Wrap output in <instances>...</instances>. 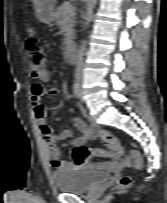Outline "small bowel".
<instances>
[{"label":"small bowel","instance_id":"c3829d8e","mask_svg":"<svg viewBox=\"0 0 167 203\" xmlns=\"http://www.w3.org/2000/svg\"><path fill=\"white\" fill-rule=\"evenodd\" d=\"M34 79L40 80L42 82H48L50 80V72L45 69L37 74L32 73ZM60 94L58 88H45L40 83H34L31 86V102L33 105L34 115L39 123V129L42 133L43 139L49 149L50 162L54 169L62 168H78L72 163H69L62 159L61 147L58 142L70 139L73 137V132L71 130H63L60 133H55L54 125L46 121V111L42 104V98L45 95L50 97H57ZM80 111H83L81 106H78ZM64 116L58 115L55 117V122L60 121ZM72 125L82 133V136L73 140V145H82L89 139H95L97 137H102L106 145L111 149V152L104 151V154H94L95 157H103L105 160L92 163L90 161L85 162L81 168L83 169H94L103 170L107 172H119L123 167H127L119 162L114 156L115 151H121L120 143L117 138L110 132L102 130L99 125L91 124L88 126L82 120L75 117H70Z\"/></svg>","mask_w":167,"mask_h":203}]
</instances>
